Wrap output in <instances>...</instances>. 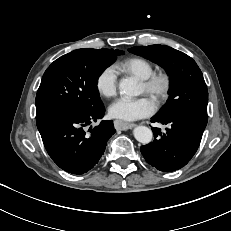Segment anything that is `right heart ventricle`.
I'll use <instances>...</instances> for the list:
<instances>
[{
    "mask_svg": "<svg viewBox=\"0 0 231 231\" xmlns=\"http://www.w3.org/2000/svg\"><path fill=\"white\" fill-rule=\"evenodd\" d=\"M117 69L134 75L140 80L148 78L154 71L153 64L142 57H130L116 65Z\"/></svg>",
    "mask_w": 231,
    "mask_h": 231,
    "instance_id": "1",
    "label": "right heart ventricle"
}]
</instances>
